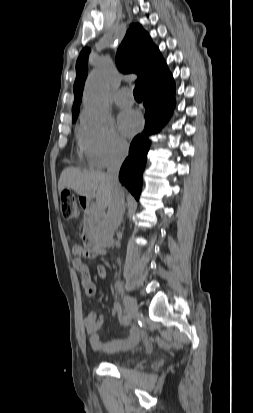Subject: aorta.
I'll use <instances>...</instances> for the list:
<instances>
[{"mask_svg":"<svg viewBox=\"0 0 253 413\" xmlns=\"http://www.w3.org/2000/svg\"><path fill=\"white\" fill-rule=\"evenodd\" d=\"M110 84L100 71H93L87 78L83 101L88 111L98 119H106L109 115Z\"/></svg>","mask_w":253,"mask_h":413,"instance_id":"762f6f07","label":"aorta"}]
</instances>
